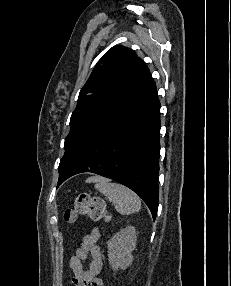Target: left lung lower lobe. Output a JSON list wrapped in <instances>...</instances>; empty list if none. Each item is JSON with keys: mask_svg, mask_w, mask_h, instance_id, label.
<instances>
[{"mask_svg": "<svg viewBox=\"0 0 231 286\" xmlns=\"http://www.w3.org/2000/svg\"><path fill=\"white\" fill-rule=\"evenodd\" d=\"M160 103L150 76L100 120L75 149L59 176L92 172L113 179L158 210Z\"/></svg>", "mask_w": 231, "mask_h": 286, "instance_id": "obj_1", "label": "left lung lower lobe"}]
</instances>
